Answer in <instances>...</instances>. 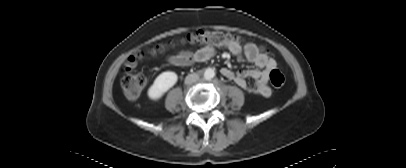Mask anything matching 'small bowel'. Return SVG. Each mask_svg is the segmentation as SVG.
<instances>
[{
  "label": "small bowel",
  "mask_w": 406,
  "mask_h": 168,
  "mask_svg": "<svg viewBox=\"0 0 406 168\" xmlns=\"http://www.w3.org/2000/svg\"><path fill=\"white\" fill-rule=\"evenodd\" d=\"M228 50L240 58H244L247 62L255 65L257 69H248L242 71H233L229 68H222V75L235 82L239 87L249 93H253L262 97H269L271 89L268 87L269 73L275 69L276 61L261 52L256 44L247 43L244 46H230ZM214 55V51L210 47H205L192 53L189 51L180 52L169 57L170 64L175 66H188L192 63H202ZM255 81L254 86L248 84L247 79Z\"/></svg>",
  "instance_id": "obj_1"
}]
</instances>
